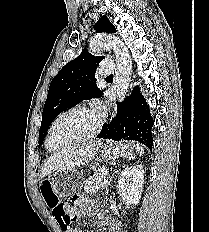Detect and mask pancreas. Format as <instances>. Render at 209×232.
I'll list each match as a JSON object with an SVG mask.
<instances>
[{
    "label": "pancreas",
    "instance_id": "1",
    "mask_svg": "<svg viewBox=\"0 0 209 232\" xmlns=\"http://www.w3.org/2000/svg\"><path fill=\"white\" fill-rule=\"evenodd\" d=\"M107 170L101 168L94 172L92 176L83 180L84 190L88 194L96 192L99 188H105L109 185L108 177L105 175Z\"/></svg>",
    "mask_w": 209,
    "mask_h": 232
}]
</instances>
